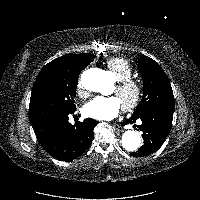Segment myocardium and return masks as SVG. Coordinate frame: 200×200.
<instances>
[{
  "label": "myocardium",
  "instance_id": "myocardium-1",
  "mask_svg": "<svg viewBox=\"0 0 200 200\" xmlns=\"http://www.w3.org/2000/svg\"><path fill=\"white\" fill-rule=\"evenodd\" d=\"M116 91L118 94L131 93V97L122 103L123 108L126 111L137 108L143 97V86L140 81L134 78L118 81Z\"/></svg>",
  "mask_w": 200,
  "mask_h": 200
}]
</instances>
